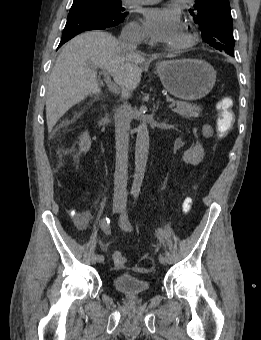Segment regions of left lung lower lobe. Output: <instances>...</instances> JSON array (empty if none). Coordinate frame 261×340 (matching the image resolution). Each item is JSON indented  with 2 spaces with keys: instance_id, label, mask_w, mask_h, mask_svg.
<instances>
[{
  "instance_id": "0a47b994",
  "label": "left lung lower lobe",
  "mask_w": 261,
  "mask_h": 340,
  "mask_svg": "<svg viewBox=\"0 0 261 340\" xmlns=\"http://www.w3.org/2000/svg\"><path fill=\"white\" fill-rule=\"evenodd\" d=\"M227 54H229L230 56H233V55H234V53H227Z\"/></svg>"
}]
</instances>
